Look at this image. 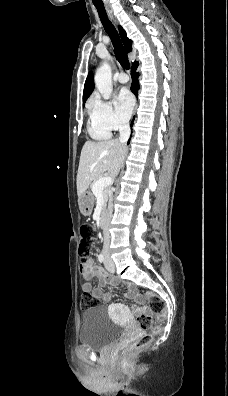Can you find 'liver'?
Instances as JSON below:
<instances>
[{
	"label": "liver",
	"instance_id": "6515ba94",
	"mask_svg": "<svg viewBox=\"0 0 228 396\" xmlns=\"http://www.w3.org/2000/svg\"><path fill=\"white\" fill-rule=\"evenodd\" d=\"M126 152V145L118 139L85 142L77 173L78 197L88 189L92 181L100 179L104 172H108L111 177L117 176Z\"/></svg>",
	"mask_w": 228,
	"mask_h": 396
}]
</instances>
